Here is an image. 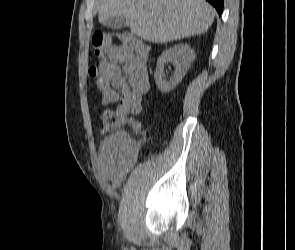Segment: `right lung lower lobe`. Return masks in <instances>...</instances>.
I'll return each instance as SVG.
<instances>
[{"instance_id": "98d812e1", "label": "right lung lower lobe", "mask_w": 295, "mask_h": 250, "mask_svg": "<svg viewBox=\"0 0 295 250\" xmlns=\"http://www.w3.org/2000/svg\"><path fill=\"white\" fill-rule=\"evenodd\" d=\"M210 4H212L219 15H221L222 11H223V0H207Z\"/></svg>"}]
</instances>
